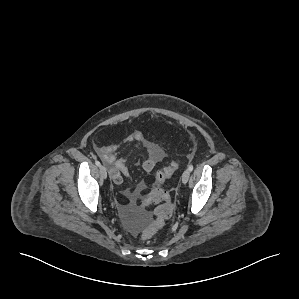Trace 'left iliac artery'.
I'll return each instance as SVG.
<instances>
[{"mask_svg":"<svg viewBox=\"0 0 299 299\" xmlns=\"http://www.w3.org/2000/svg\"><path fill=\"white\" fill-rule=\"evenodd\" d=\"M194 166L191 164L188 166V170L191 172L193 170Z\"/></svg>","mask_w":299,"mask_h":299,"instance_id":"obj_1","label":"left iliac artery"}]
</instances>
